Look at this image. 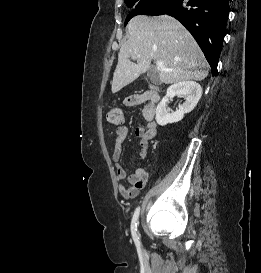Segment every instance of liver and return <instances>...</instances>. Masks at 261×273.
Wrapping results in <instances>:
<instances>
[{
    "instance_id": "6515ba94",
    "label": "liver",
    "mask_w": 261,
    "mask_h": 273,
    "mask_svg": "<svg viewBox=\"0 0 261 273\" xmlns=\"http://www.w3.org/2000/svg\"><path fill=\"white\" fill-rule=\"evenodd\" d=\"M128 40L121 46L114 71L112 93H117L150 69L152 59L172 72L157 70L161 83L201 81L208 75L203 52L185 27L168 15H138L127 25ZM136 55H140L135 58ZM130 59H136L137 63Z\"/></svg>"
}]
</instances>
